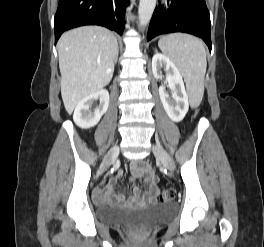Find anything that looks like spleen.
Returning <instances> with one entry per match:
<instances>
[{
	"label": "spleen",
	"mask_w": 264,
	"mask_h": 247,
	"mask_svg": "<svg viewBox=\"0 0 264 247\" xmlns=\"http://www.w3.org/2000/svg\"><path fill=\"white\" fill-rule=\"evenodd\" d=\"M158 45L180 70L192 103L199 105L204 94L207 67L203 43L191 35L175 33L161 38Z\"/></svg>",
	"instance_id": "spleen-1"
}]
</instances>
